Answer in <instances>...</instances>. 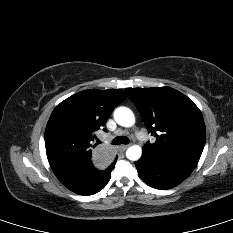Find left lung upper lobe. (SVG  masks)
<instances>
[{
    "mask_svg": "<svg viewBox=\"0 0 233 233\" xmlns=\"http://www.w3.org/2000/svg\"><path fill=\"white\" fill-rule=\"evenodd\" d=\"M154 143L145 150L157 154H185L200 158L206 139L199 108L185 95L170 87L127 88Z\"/></svg>",
    "mask_w": 233,
    "mask_h": 233,
    "instance_id": "1",
    "label": "left lung upper lobe"
}]
</instances>
